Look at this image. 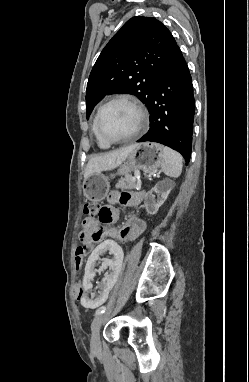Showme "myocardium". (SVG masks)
I'll return each mask as SVG.
<instances>
[{
    "instance_id": "f54148a6",
    "label": "myocardium",
    "mask_w": 249,
    "mask_h": 382,
    "mask_svg": "<svg viewBox=\"0 0 249 382\" xmlns=\"http://www.w3.org/2000/svg\"><path fill=\"white\" fill-rule=\"evenodd\" d=\"M116 102H124L131 105L138 114V123H137L135 131L132 134L125 137H121V138H111L106 136L102 131L101 123H100L101 116L104 109L108 107L109 105ZM147 125H148V116L146 111L144 110V108L141 106V104L138 101H136L135 99L129 96H115L109 99L108 101H106L104 104L100 106L96 114V128H97L98 135L100 136L102 140H104L105 142L109 144L131 141L137 138L140 135V133L146 129Z\"/></svg>"
}]
</instances>
